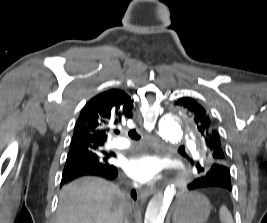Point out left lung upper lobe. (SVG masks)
<instances>
[{
  "mask_svg": "<svg viewBox=\"0 0 267 223\" xmlns=\"http://www.w3.org/2000/svg\"><path fill=\"white\" fill-rule=\"evenodd\" d=\"M175 108L184 117L201 148L199 160L192 161L197 173L229 171V160L222 143L216 122L210 112L189 97L179 98Z\"/></svg>",
  "mask_w": 267,
  "mask_h": 223,
  "instance_id": "1",
  "label": "left lung upper lobe"
}]
</instances>
